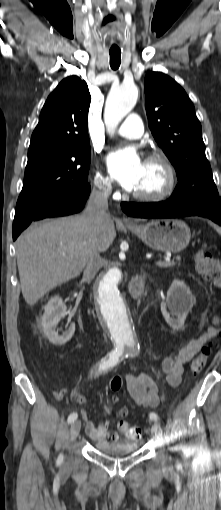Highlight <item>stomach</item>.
<instances>
[{"mask_svg":"<svg viewBox=\"0 0 221 510\" xmlns=\"http://www.w3.org/2000/svg\"><path fill=\"white\" fill-rule=\"evenodd\" d=\"M152 249L178 253L185 249L191 238L188 225L178 219L152 220L138 226H127Z\"/></svg>","mask_w":221,"mask_h":510,"instance_id":"0dacf381","label":"stomach"}]
</instances>
